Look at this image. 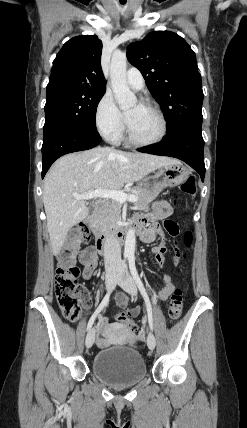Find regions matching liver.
Listing matches in <instances>:
<instances>
[{
  "instance_id": "liver-1",
  "label": "liver",
  "mask_w": 247,
  "mask_h": 428,
  "mask_svg": "<svg viewBox=\"0 0 247 428\" xmlns=\"http://www.w3.org/2000/svg\"><path fill=\"white\" fill-rule=\"evenodd\" d=\"M178 160L151 154L96 147L58 159L44 179L43 204L54 255H58L69 230L89 214L83 195L102 188L119 190L124 184L140 181L156 169Z\"/></svg>"
}]
</instances>
